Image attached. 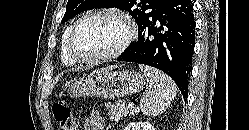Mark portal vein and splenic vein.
Returning <instances> with one entry per match:
<instances>
[{
  "instance_id": "portal-vein-and-splenic-vein-1",
  "label": "portal vein and splenic vein",
  "mask_w": 249,
  "mask_h": 130,
  "mask_svg": "<svg viewBox=\"0 0 249 130\" xmlns=\"http://www.w3.org/2000/svg\"><path fill=\"white\" fill-rule=\"evenodd\" d=\"M128 108H130V109H132V108H134V104L133 103H128Z\"/></svg>"
}]
</instances>
